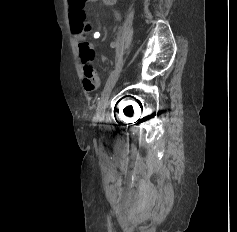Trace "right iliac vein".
Instances as JSON below:
<instances>
[{
	"label": "right iliac vein",
	"mask_w": 237,
	"mask_h": 232,
	"mask_svg": "<svg viewBox=\"0 0 237 232\" xmlns=\"http://www.w3.org/2000/svg\"><path fill=\"white\" fill-rule=\"evenodd\" d=\"M119 75H120V69L117 68L109 76L106 86L102 92L100 101L98 103L97 113H96L97 118H102L104 116L110 93H111L112 89L114 88V86L119 78Z\"/></svg>",
	"instance_id": "right-iliac-vein-1"
}]
</instances>
